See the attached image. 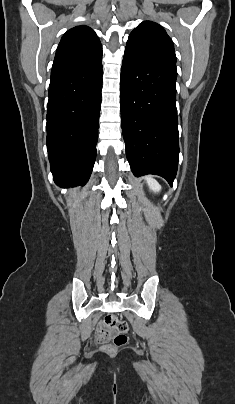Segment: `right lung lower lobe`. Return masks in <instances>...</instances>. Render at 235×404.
Segmentation results:
<instances>
[{
  "mask_svg": "<svg viewBox=\"0 0 235 404\" xmlns=\"http://www.w3.org/2000/svg\"><path fill=\"white\" fill-rule=\"evenodd\" d=\"M102 75V58L51 71L46 142L57 185L83 186L91 175L96 158Z\"/></svg>",
  "mask_w": 235,
  "mask_h": 404,
  "instance_id": "1",
  "label": "right lung lower lobe"
}]
</instances>
